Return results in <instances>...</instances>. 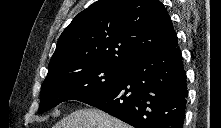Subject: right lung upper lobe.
<instances>
[{
  "label": "right lung upper lobe",
  "mask_w": 221,
  "mask_h": 128,
  "mask_svg": "<svg viewBox=\"0 0 221 128\" xmlns=\"http://www.w3.org/2000/svg\"><path fill=\"white\" fill-rule=\"evenodd\" d=\"M178 46L159 0H99L80 12L58 39L49 71L86 64L128 67Z\"/></svg>",
  "instance_id": "cb5924a9"
}]
</instances>
